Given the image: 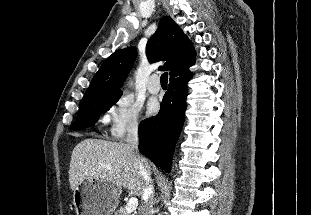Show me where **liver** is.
Listing matches in <instances>:
<instances>
[{
    "label": "liver",
    "mask_w": 311,
    "mask_h": 215,
    "mask_svg": "<svg viewBox=\"0 0 311 215\" xmlns=\"http://www.w3.org/2000/svg\"><path fill=\"white\" fill-rule=\"evenodd\" d=\"M147 172L151 165L145 160ZM85 179L103 180L120 189L126 188L135 196L143 195L144 178L136 154L123 142L88 138L72 151L69 182L73 191Z\"/></svg>",
    "instance_id": "liver-1"
}]
</instances>
